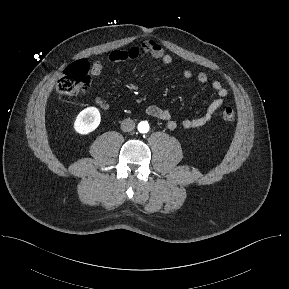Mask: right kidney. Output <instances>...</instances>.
I'll use <instances>...</instances> for the list:
<instances>
[{"mask_svg": "<svg viewBox=\"0 0 289 289\" xmlns=\"http://www.w3.org/2000/svg\"><path fill=\"white\" fill-rule=\"evenodd\" d=\"M101 116L96 107H88L82 110L76 117L74 129L81 135H87L94 131L100 124Z\"/></svg>", "mask_w": 289, "mask_h": 289, "instance_id": "ca27d5eb", "label": "right kidney"}]
</instances>
